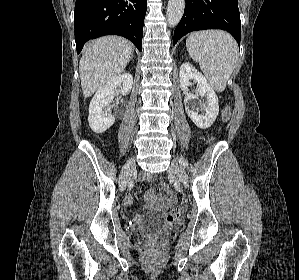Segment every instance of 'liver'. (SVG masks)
<instances>
[{"label":"liver","mask_w":299,"mask_h":280,"mask_svg":"<svg viewBox=\"0 0 299 280\" xmlns=\"http://www.w3.org/2000/svg\"><path fill=\"white\" fill-rule=\"evenodd\" d=\"M132 53V45L120 37L107 36L89 42L79 64L84 98L119 76Z\"/></svg>","instance_id":"1"}]
</instances>
